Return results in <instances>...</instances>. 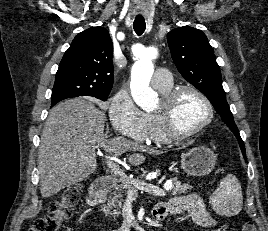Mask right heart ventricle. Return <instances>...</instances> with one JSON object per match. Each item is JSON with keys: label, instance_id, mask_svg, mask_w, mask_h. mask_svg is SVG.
I'll use <instances>...</instances> for the list:
<instances>
[{"label": "right heart ventricle", "instance_id": "e07e8e85", "mask_svg": "<svg viewBox=\"0 0 268 231\" xmlns=\"http://www.w3.org/2000/svg\"><path fill=\"white\" fill-rule=\"evenodd\" d=\"M156 88L160 94L164 96L173 89V82ZM145 120L147 124V141L155 144H167L171 142V139L164 134L160 122L154 112L146 113Z\"/></svg>", "mask_w": 268, "mask_h": 231}]
</instances>
